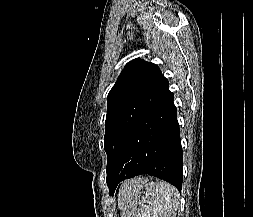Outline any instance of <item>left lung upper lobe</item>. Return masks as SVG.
<instances>
[{
  "label": "left lung upper lobe",
  "mask_w": 253,
  "mask_h": 217,
  "mask_svg": "<svg viewBox=\"0 0 253 217\" xmlns=\"http://www.w3.org/2000/svg\"><path fill=\"white\" fill-rule=\"evenodd\" d=\"M168 91V80L157 65L135 59L125 66L107 98L104 137L107 179L111 174L118 146L127 131Z\"/></svg>",
  "instance_id": "obj_1"
}]
</instances>
